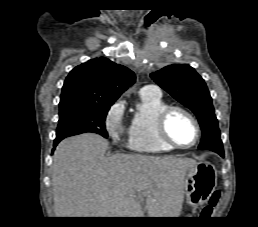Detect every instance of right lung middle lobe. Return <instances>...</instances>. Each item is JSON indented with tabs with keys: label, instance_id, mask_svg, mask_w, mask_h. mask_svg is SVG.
Instances as JSON below:
<instances>
[{
	"label": "right lung middle lobe",
	"instance_id": "obj_1",
	"mask_svg": "<svg viewBox=\"0 0 258 227\" xmlns=\"http://www.w3.org/2000/svg\"><path fill=\"white\" fill-rule=\"evenodd\" d=\"M112 104L88 102L76 98L61 99L56 138H65L86 132L107 138L105 119Z\"/></svg>",
	"mask_w": 258,
	"mask_h": 227
}]
</instances>
